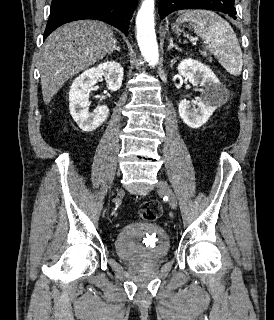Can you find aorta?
Returning <instances> with one entry per match:
<instances>
[{"label":"aorta","instance_id":"obj_1","mask_svg":"<svg viewBox=\"0 0 274 320\" xmlns=\"http://www.w3.org/2000/svg\"><path fill=\"white\" fill-rule=\"evenodd\" d=\"M137 41L149 65L158 63L159 51L154 29V0H144L136 17Z\"/></svg>","mask_w":274,"mask_h":320}]
</instances>
